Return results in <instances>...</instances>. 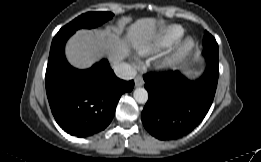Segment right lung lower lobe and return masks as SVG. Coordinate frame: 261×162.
Instances as JSON below:
<instances>
[{
    "mask_svg": "<svg viewBox=\"0 0 261 162\" xmlns=\"http://www.w3.org/2000/svg\"><path fill=\"white\" fill-rule=\"evenodd\" d=\"M71 35L56 34L52 41L46 92L59 126L72 136L89 137L110 124L121 95L133 89L134 81L117 78L107 60L85 70L70 66L64 47Z\"/></svg>",
    "mask_w": 261,
    "mask_h": 162,
    "instance_id": "1",
    "label": "right lung lower lobe"
}]
</instances>
